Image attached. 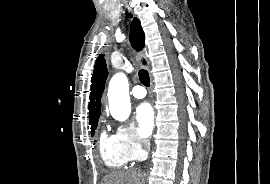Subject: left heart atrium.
I'll list each match as a JSON object with an SVG mask.
<instances>
[{
	"label": "left heart atrium",
	"instance_id": "1",
	"mask_svg": "<svg viewBox=\"0 0 270 184\" xmlns=\"http://www.w3.org/2000/svg\"><path fill=\"white\" fill-rule=\"evenodd\" d=\"M136 120L141 134L148 137L154 126V112L150 104L142 103L137 107Z\"/></svg>",
	"mask_w": 270,
	"mask_h": 184
}]
</instances>
